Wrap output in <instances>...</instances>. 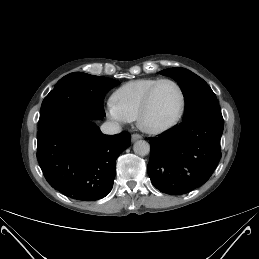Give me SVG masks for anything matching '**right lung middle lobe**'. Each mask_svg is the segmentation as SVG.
Returning <instances> with one entry per match:
<instances>
[{"instance_id": "obj_1", "label": "right lung middle lobe", "mask_w": 259, "mask_h": 259, "mask_svg": "<svg viewBox=\"0 0 259 259\" xmlns=\"http://www.w3.org/2000/svg\"><path fill=\"white\" fill-rule=\"evenodd\" d=\"M118 84L119 81L82 72L64 76L43 100L39 125L59 116L103 119L104 94Z\"/></svg>"}]
</instances>
